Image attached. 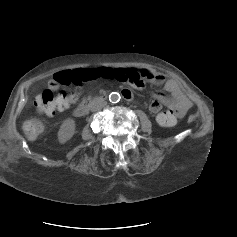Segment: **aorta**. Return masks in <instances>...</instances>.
I'll return each mask as SVG.
<instances>
[{
    "mask_svg": "<svg viewBox=\"0 0 237 237\" xmlns=\"http://www.w3.org/2000/svg\"><path fill=\"white\" fill-rule=\"evenodd\" d=\"M121 97H120V94L117 93V92H112L110 95H109V101L111 103H118L120 101Z\"/></svg>",
    "mask_w": 237,
    "mask_h": 237,
    "instance_id": "obj_1",
    "label": "aorta"
}]
</instances>
